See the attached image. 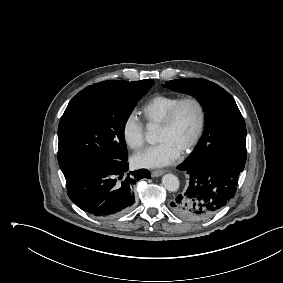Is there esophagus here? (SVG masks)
Wrapping results in <instances>:
<instances>
[{"label": "esophagus", "mask_w": 283, "mask_h": 283, "mask_svg": "<svg viewBox=\"0 0 283 283\" xmlns=\"http://www.w3.org/2000/svg\"><path fill=\"white\" fill-rule=\"evenodd\" d=\"M165 172H166L165 170H154V171L151 172V175L153 177H159L162 174H164Z\"/></svg>", "instance_id": "esophagus-1"}]
</instances>
